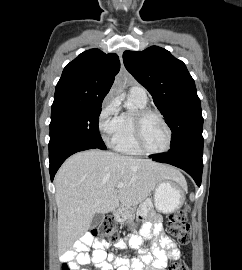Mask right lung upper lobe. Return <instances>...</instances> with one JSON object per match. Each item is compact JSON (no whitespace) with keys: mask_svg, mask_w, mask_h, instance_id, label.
Returning <instances> with one entry per match:
<instances>
[{"mask_svg":"<svg viewBox=\"0 0 242 270\" xmlns=\"http://www.w3.org/2000/svg\"><path fill=\"white\" fill-rule=\"evenodd\" d=\"M119 70V57L114 53L99 49L81 53L64 68L52 106L102 103Z\"/></svg>","mask_w":242,"mask_h":270,"instance_id":"1","label":"right lung upper lobe"}]
</instances>
